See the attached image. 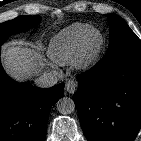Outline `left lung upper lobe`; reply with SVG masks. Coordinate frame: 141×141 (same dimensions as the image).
I'll return each mask as SVG.
<instances>
[{
  "instance_id": "1",
  "label": "left lung upper lobe",
  "mask_w": 141,
  "mask_h": 141,
  "mask_svg": "<svg viewBox=\"0 0 141 141\" xmlns=\"http://www.w3.org/2000/svg\"><path fill=\"white\" fill-rule=\"evenodd\" d=\"M109 19L110 43L106 56L120 52H141V41L125 21L115 15L106 14Z\"/></svg>"
}]
</instances>
